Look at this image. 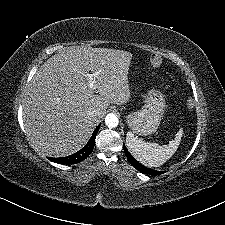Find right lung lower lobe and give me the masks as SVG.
I'll return each instance as SVG.
<instances>
[{
  "instance_id": "obj_1",
  "label": "right lung lower lobe",
  "mask_w": 225,
  "mask_h": 225,
  "mask_svg": "<svg viewBox=\"0 0 225 225\" xmlns=\"http://www.w3.org/2000/svg\"><path fill=\"white\" fill-rule=\"evenodd\" d=\"M98 130H99V126L94 130L88 143L78 152H76L70 156H67V157H60V158L48 157V159L51 161L57 162L59 164H75V163H79V162L83 161L91 154V152L93 150L94 143H95V137L98 133Z\"/></svg>"
}]
</instances>
